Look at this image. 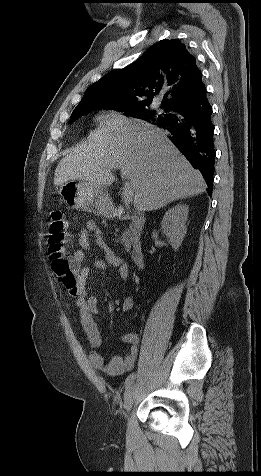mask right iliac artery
Masks as SVG:
<instances>
[{
  "label": "right iliac artery",
  "instance_id": "right-iliac-artery-1",
  "mask_svg": "<svg viewBox=\"0 0 261 476\" xmlns=\"http://www.w3.org/2000/svg\"><path fill=\"white\" fill-rule=\"evenodd\" d=\"M135 376H136L135 373H131V374L126 378V381H125V388H126V389L132 384V382H133L134 379H135Z\"/></svg>",
  "mask_w": 261,
  "mask_h": 476
}]
</instances>
